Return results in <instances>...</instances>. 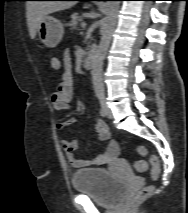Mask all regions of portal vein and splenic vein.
I'll list each match as a JSON object with an SVG mask.
<instances>
[{"label":"portal vein and splenic vein","mask_w":188,"mask_h":213,"mask_svg":"<svg viewBox=\"0 0 188 213\" xmlns=\"http://www.w3.org/2000/svg\"><path fill=\"white\" fill-rule=\"evenodd\" d=\"M81 27H82V28H85V27H86V23H85V22H82V23H81Z\"/></svg>","instance_id":"portal-vein-and-splenic-vein-1"}]
</instances>
